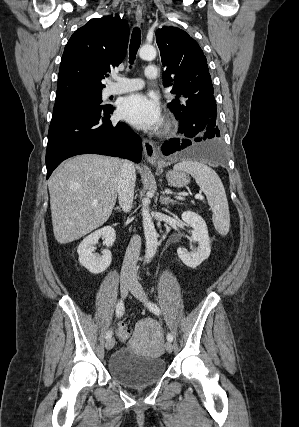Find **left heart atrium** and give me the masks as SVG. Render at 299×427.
<instances>
[{"instance_id":"39dd6f15","label":"left heart atrium","mask_w":299,"mask_h":427,"mask_svg":"<svg viewBox=\"0 0 299 427\" xmlns=\"http://www.w3.org/2000/svg\"><path fill=\"white\" fill-rule=\"evenodd\" d=\"M119 113L124 120L140 129H156L162 123L159 103L141 93L123 98Z\"/></svg>"}]
</instances>
